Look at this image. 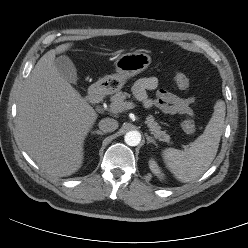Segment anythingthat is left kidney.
<instances>
[{"instance_id": "1", "label": "left kidney", "mask_w": 248, "mask_h": 248, "mask_svg": "<svg viewBox=\"0 0 248 248\" xmlns=\"http://www.w3.org/2000/svg\"><path fill=\"white\" fill-rule=\"evenodd\" d=\"M149 167L157 177H159L160 179H164V174L161 172L159 166L153 159L149 161Z\"/></svg>"}]
</instances>
